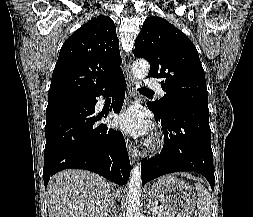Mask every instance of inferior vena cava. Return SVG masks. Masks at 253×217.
Segmentation results:
<instances>
[{
    "label": "inferior vena cava",
    "mask_w": 253,
    "mask_h": 217,
    "mask_svg": "<svg viewBox=\"0 0 253 217\" xmlns=\"http://www.w3.org/2000/svg\"><path fill=\"white\" fill-rule=\"evenodd\" d=\"M114 190H115V191H114V192H115V196H114L115 199H120V197H121L120 194H122V192H123L122 189H120V187H115ZM116 203H117V202H116ZM116 205H117V204H116Z\"/></svg>",
    "instance_id": "602c4592"
}]
</instances>
